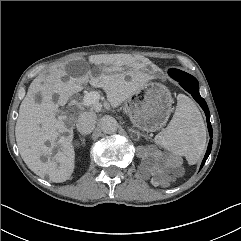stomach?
Masks as SVG:
<instances>
[{
	"instance_id": "1",
	"label": "stomach",
	"mask_w": 241,
	"mask_h": 241,
	"mask_svg": "<svg viewBox=\"0 0 241 241\" xmlns=\"http://www.w3.org/2000/svg\"><path fill=\"white\" fill-rule=\"evenodd\" d=\"M173 99L166 86L149 82L125 102L127 114L135 127L147 132L160 130L167 123Z\"/></svg>"
}]
</instances>
